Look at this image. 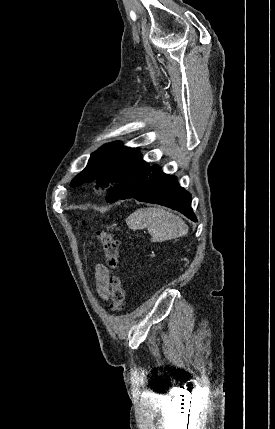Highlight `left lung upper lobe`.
Listing matches in <instances>:
<instances>
[{
    "mask_svg": "<svg viewBox=\"0 0 275 429\" xmlns=\"http://www.w3.org/2000/svg\"><path fill=\"white\" fill-rule=\"evenodd\" d=\"M149 166L137 149L125 147L120 142L108 143L91 154L86 168L72 180L70 186L76 187L93 180H97L99 186L116 182L115 186L118 185L123 194ZM116 200L109 198L107 201Z\"/></svg>",
    "mask_w": 275,
    "mask_h": 429,
    "instance_id": "obj_1",
    "label": "left lung upper lobe"
}]
</instances>
